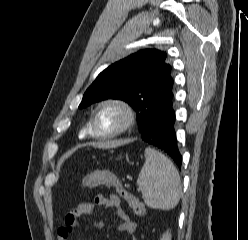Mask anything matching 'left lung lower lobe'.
<instances>
[{"instance_id":"left-lung-lower-lobe-1","label":"left lung lower lobe","mask_w":248,"mask_h":240,"mask_svg":"<svg viewBox=\"0 0 248 240\" xmlns=\"http://www.w3.org/2000/svg\"><path fill=\"white\" fill-rule=\"evenodd\" d=\"M174 124L175 111L170 103L156 113L141 137L149 145L166 152L181 168L182 156L178 149Z\"/></svg>"}]
</instances>
